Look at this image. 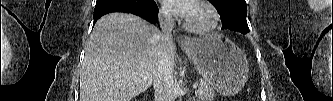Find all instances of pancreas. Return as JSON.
I'll return each instance as SVG.
<instances>
[{
    "mask_svg": "<svg viewBox=\"0 0 333 101\" xmlns=\"http://www.w3.org/2000/svg\"><path fill=\"white\" fill-rule=\"evenodd\" d=\"M195 95L199 101H212L215 93L209 83L204 80L199 84Z\"/></svg>",
    "mask_w": 333,
    "mask_h": 101,
    "instance_id": "1",
    "label": "pancreas"
}]
</instances>
